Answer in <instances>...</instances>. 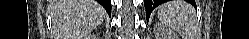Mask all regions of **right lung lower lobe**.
I'll return each instance as SVG.
<instances>
[{
	"mask_svg": "<svg viewBox=\"0 0 249 39\" xmlns=\"http://www.w3.org/2000/svg\"><path fill=\"white\" fill-rule=\"evenodd\" d=\"M111 16V0H97Z\"/></svg>",
	"mask_w": 249,
	"mask_h": 39,
	"instance_id": "1",
	"label": "right lung lower lobe"
}]
</instances>
